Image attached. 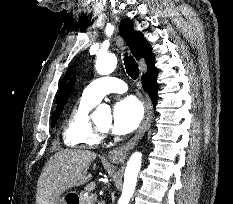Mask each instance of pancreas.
I'll use <instances>...</instances> for the list:
<instances>
[{"label":"pancreas","instance_id":"obj_1","mask_svg":"<svg viewBox=\"0 0 233 204\" xmlns=\"http://www.w3.org/2000/svg\"><path fill=\"white\" fill-rule=\"evenodd\" d=\"M93 189V185L89 184L84 187V190L80 193L79 201L80 204H95L97 201V196L95 194L89 193L86 195L87 192ZM102 204V203H98Z\"/></svg>","mask_w":233,"mask_h":204}]
</instances>
